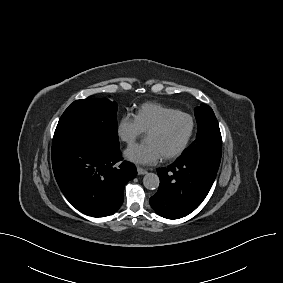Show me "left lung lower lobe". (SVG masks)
<instances>
[{"label":"left lung lower lobe","instance_id":"0a47b994","mask_svg":"<svg viewBox=\"0 0 283 283\" xmlns=\"http://www.w3.org/2000/svg\"><path fill=\"white\" fill-rule=\"evenodd\" d=\"M220 165L204 154L178 158L167 168L157 169L160 185L150 205L160 216L178 219L193 212L210 191Z\"/></svg>","mask_w":283,"mask_h":283}]
</instances>
